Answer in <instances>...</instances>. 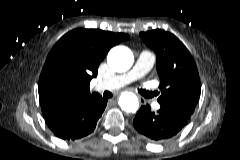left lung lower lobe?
<instances>
[{
    "instance_id": "1",
    "label": "left lung lower lobe",
    "mask_w": 240,
    "mask_h": 160,
    "mask_svg": "<svg viewBox=\"0 0 240 160\" xmlns=\"http://www.w3.org/2000/svg\"><path fill=\"white\" fill-rule=\"evenodd\" d=\"M188 121L165 107L153 112L145 105L137 112L133 126L145 140L160 143L174 137Z\"/></svg>"
}]
</instances>
